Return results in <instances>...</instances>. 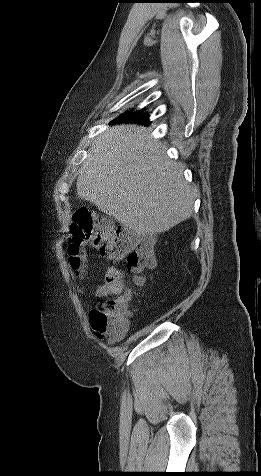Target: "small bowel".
I'll return each instance as SVG.
<instances>
[{
  "mask_svg": "<svg viewBox=\"0 0 261 476\" xmlns=\"http://www.w3.org/2000/svg\"><path fill=\"white\" fill-rule=\"evenodd\" d=\"M127 290L123 271L115 267H109L104 275V282L96 287L97 297L109 295H121Z\"/></svg>",
  "mask_w": 261,
  "mask_h": 476,
  "instance_id": "c3829d8e",
  "label": "small bowel"
}]
</instances>
